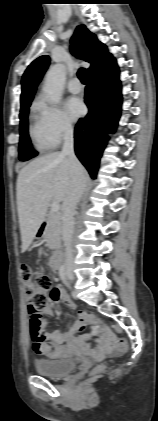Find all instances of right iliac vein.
Here are the masks:
<instances>
[{"label": "right iliac vein", "instance_id": "63e3f726", "mask_svg": "<svg viewBox=\"0 0 158 421\" xmlns=\"http://www.w3.org/2000/svg\"><path fill=\"white\" fill-rule=\"evenodd\" d=\"M67 274H68V276H69V278L71 279V280H73L74 279V274H73V269L72 268H68L67 269Z\"/></svg>", "mask_w": 158, "mask_h": 421}]
</instances>
